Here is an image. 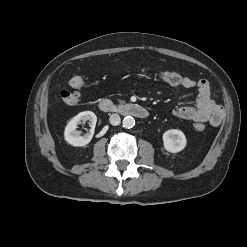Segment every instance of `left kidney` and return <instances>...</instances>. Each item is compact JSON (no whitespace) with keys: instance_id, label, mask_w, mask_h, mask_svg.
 <instances>
[{"instance_id":"obj_1","label":"left kidney","mask_w":247,"mask_h":247,"mask_svg":"<svg viewBox=\"0 0 247 247\" xmlns=\"http://www.w3.org/2000/svg\"><path fill=\"white\" fill-rule=\"evenodd\" d=\"M187 140L184 133L178 129H170L163 134V144L165 150L171 153L182 151L186 146Z\"/></svg>"}]
</instances>
